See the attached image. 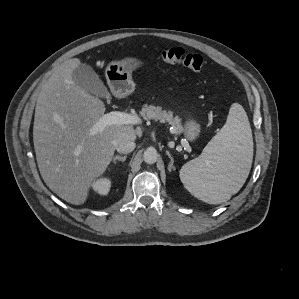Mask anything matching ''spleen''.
Here are the masks:
<instances>
[{
    "label": "spleen",
    "instance_id": "spleen-1",
    "mask_svg": "<svg viewBox=\"0 0 299 299\" xmlns=\"http://www.w3.org/2000/svg\"><path fill=\"white\" fill-rule=\"evenodd\" d=\"M253 138L244 108L232 104L225 125L206 145L202 154L180 170L185 188L196 198L220 204L236 194L252 165Z\"/></svg>",
    "mask_w": 299,
    "mask_h": 299
}]
</instances>
